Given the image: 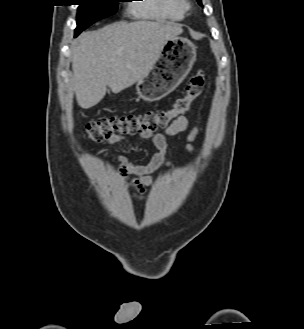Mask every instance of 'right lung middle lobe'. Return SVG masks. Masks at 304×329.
<instances>
[{
  "instance_id": "right-lung-middle-lobe-1",
  "label": "right lung middle lobe",
  "mask_w": 304,
  "mask_h": 329,
  "mask_svg": "<svg viewBox=\"0 0 304 329\" xmlns=\"http://www.w3.org/2000/svg\"><path fill=\"white\" fill-rule=\"evenodd\" d=\"M80 2L77 9V27L75 36L92 23L114 14L118 8V2L122 0H77Z\"/></svg>"
}]
</instances>
